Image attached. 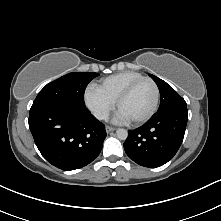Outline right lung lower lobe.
I'll use <instances>...</instances> for the list:
<instances>
[{"mask_svg":"<svg viewBox=\"0 0 221 221\" xmlns=\"http://www.w3.org/2000/svg\"><path fill=\"white\" fill-rule=\"evenodd\" d=\"M29 128L42 156L68 171L91 163L100 153L105 126L85 106L49 104L30 111Z\"/></svg>","mask_w":221,"mask_h":221,"instance_id":"right-lung-lower-lobe-1","label":"right lung lower lobe"}]
</instances>
